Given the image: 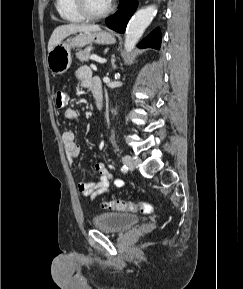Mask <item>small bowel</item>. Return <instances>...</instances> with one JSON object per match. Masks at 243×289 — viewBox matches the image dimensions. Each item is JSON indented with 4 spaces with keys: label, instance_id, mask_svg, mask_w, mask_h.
<instances>
[{
    "label": "small bowel",
    "instance_id": "small-bowel-1",
    "mask_svg": "<svg viewBox=\"0 0 243 289\" xmlns=\"http://www.w3.org/2000/svg\"><path fill=\"white\" fill-rule=\"evenodd\" d=\"M75 78L83 87L89 89L91 93H93L95 88L101 87L99 79L94 78L91 70L86 66H81L76 69ZM64 116L70 121L77 120V112L71 107L65 110ZM62 141L65 147L66 157L70 163H73L81 153V147L76 142L75 134L70 130L63 132ZM94 168L98 173L99 178L89 183L80 182L77 185L79 192L84 196L95 198L102 194H108L111 184L118 188L125 186V182L122 179L115 178L108 171L104 163L96 162Z\"/></svg>",
    "mask_w": 243,
    "mask_h": 289
}]
</instances>
